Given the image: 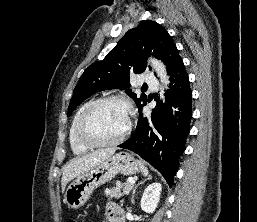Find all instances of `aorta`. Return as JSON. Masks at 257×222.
I'll use <instances>...</instances> for the list:
<instances>
[{
    "instance_id": "762f6f07",
    "label": "aorta",
    "mask_w": 257,
    "mask_h": 222,
    "mask_svg": "<svg viewBox=\"0 0 257 222\" xmlns=\"http://www.w3.org/2000/svg\"><path fill=\"white\" fill-rule=\"evenodd\" d=\"M150 64L156 71L157 75L160 77V80L164 84V87L167 88V85L169 83V77L167 75L165 65L157 59H151Z\"/></svg>"
}]
</instances>
